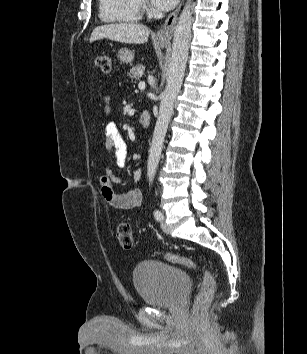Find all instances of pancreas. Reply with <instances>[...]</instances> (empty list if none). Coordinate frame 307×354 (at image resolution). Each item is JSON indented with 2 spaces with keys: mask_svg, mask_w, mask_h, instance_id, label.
Wrapping results in <instances>:
<instances>
[{
  "mask_svg": "<svg viewBox=\"0 0 307 354\" xmlns=\"http://www.w3.org/2000/svg\"><path fill=\"white\" fill-rule=\"evenodd\" d=\"M144 70L145 67L141 64H138L134 66L132 69H130L127 75L129 76L131 81L133 80L137 81L142 77Z\"/></svg>",
  "mask_w": 307,
  "mask_h": 354,
  "instance_id": "pancreas-1",
  "label": "pancreas"
}]
</instances>
